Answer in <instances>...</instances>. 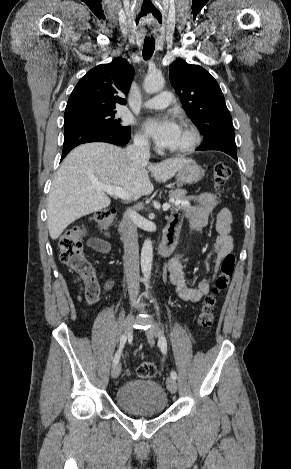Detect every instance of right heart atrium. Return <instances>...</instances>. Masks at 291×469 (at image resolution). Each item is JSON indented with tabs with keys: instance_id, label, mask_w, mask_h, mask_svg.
<instances>
[{
	"instance_id": "d8ad5b80",
	"label": "right heart atrium",
	"mask_w": 291,
	"mask_h": 469,
	"mask_svg": "<svg viewBox=\"0 0 291 469\" xmlns=\"http://www.w3.org/2000/svg\"><path fill=\"white\" fill-rule=\"evenodd\" d=\"M134 144L137 148L141 150H147L149 148V142L145 135L142 133H137L134 137Z\"/></svg>"
}]
</instances>
